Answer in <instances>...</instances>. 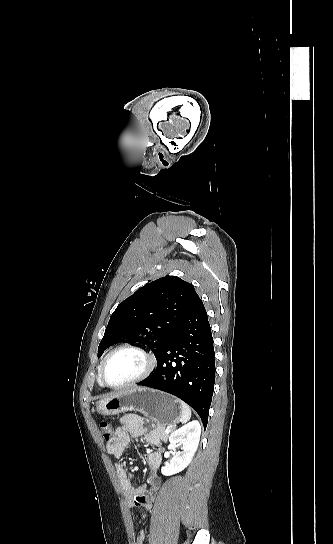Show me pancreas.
I'll return each instance as SVG.
<instances>
[{
	"label": "pancreas",
	"instance_id": "1",
	"mask_svg": "<svg viewBox=\"0 0 333 544\" xmlns=\"http://www.w3.org/2000/svg\"><path fill=\"white\" fill-rule=\"evenodd\" d=\"M154 432L164 441L168 440L169 434L165 432L164 426H157Z\"/></svg>",
	"mask_w": 333,
	"mask_h": 544
}]
</instances>
